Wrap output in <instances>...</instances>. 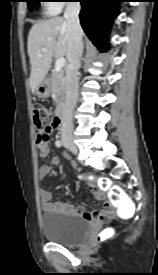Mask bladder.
Wrapping results in <instances>:
<instances>
[{"instance_id": "1", "label": "bladder", "mask_w": 158, "mask_h": 275, "mask_svg": "<svg viewBox=\"0 0 158 275\" xmlns=\"http://www.w3.org/2000/svg\"><path fill=\"white\" fill-rule=\"evenodd\" d=\"M41 227L47 240L63 245H75L86 237L90 222L76 214L53 210L44 213Z\"/></svg>"}]
</instances>
